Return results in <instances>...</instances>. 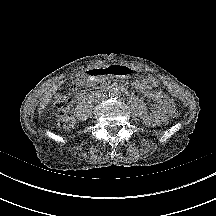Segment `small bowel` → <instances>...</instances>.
I'll use <instances>...</instances> for the list:
<instances>
[{"label": "small bowel", "mask_w": 216, "mask_h": 216, "mask_svg": "<svg viewBox=\"0 0 216 216\" xmlns=\"http://www.w3.org/2000/svg\"><path fill=\"white\" fill-rule=\"evenodd\" d=\"M157 86L158 81L152 76L133 83L134 89L157 104L146 117V123L151 126L161 124L175 105L174 100L158 90Z\"/></svg>", "instance_id": "obj_1"}]
</instances>
